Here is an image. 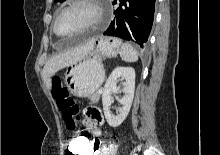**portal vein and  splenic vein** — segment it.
<instances>
[{
	"instance_id": "18ae733b",
	"label": "portal vein and splenic vein",
	"mask_w": 220,
	"mask_h": 155,
	"mask_svg": "<svg viewBox=\"0 0 220 155\" xmlns=\"http://www.w3.org/2000/svg\"><path fill=\"white\" fill-rule=\"evenodd\" d=\"M98 93L101 94V93H102V90H98Z\"/></svg>"
}]
</instances>
